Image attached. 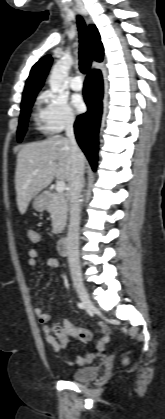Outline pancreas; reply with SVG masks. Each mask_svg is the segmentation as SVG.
Returning a JSON list of instances; mask_svg holds the SVG:
<instances>
[{
	"label": "pancreas",
	"instance_id": "obj_1",
	"mask_svg": "<svg viewBox=\"0 0 165 419\" xmlns=\"http://www.w3.org/2000/svg\"><path fill=\"white\" fill-rule=\"evenodd\" d=\"M47 211L51 214L53 233H61L64 230L67 221V197L63 194L52 193L47 206Z\"/></svg>",
	"mask_w": 165,
	"mask_h": 419
}]
</instances>
